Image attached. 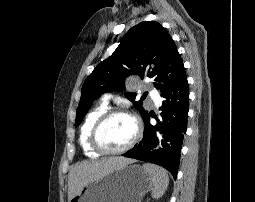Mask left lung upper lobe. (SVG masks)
Instances as JSON below:
<instances>
[{
  "mask_svg": "<svg viewBox=\"0 0 255 202\" xmlns=\"http://www.w3.org/2000/svg\"><path fill=\"white\" fill-rule=\"evenodd\" d=\"M183 72L182 59L168 32L158 22H141L126 33L113 54L99 63L86 78L75 126L102 93L123 89L129 75L152 78L154 87L164 92L178 81ZM126 95L144 117L148 112L143 109L141 101H134L136 93Z\"/></svg>",
  "mask_w": 255,
  "mask_h": 202,
  "instance_id": "5c2ea615",
  "label": "left lung upper lobe"
}]
</instances>
